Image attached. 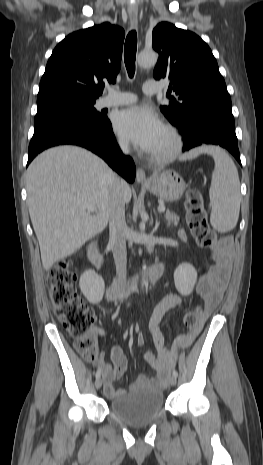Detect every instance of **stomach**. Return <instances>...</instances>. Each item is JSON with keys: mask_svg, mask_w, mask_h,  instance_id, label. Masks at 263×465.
<instances>
[{"mask_svg": "<svg viewBox=\"0 0 263 465\" xmlns=\"http://www.w3.org/2000/svg\"><path fill=\"white\" fill-rule=\"evenodd\" d=\"M146 189L165 201L174 202L181 198L185 190V183L175 171L164 170L152 175Z\"/></svg>", "mask_w": 263, "mask_h": 465, "instance_id": "0dacf381", "label": "stomach"}]
</instances>
